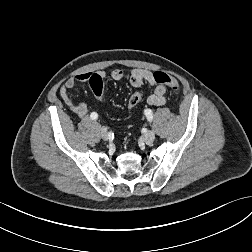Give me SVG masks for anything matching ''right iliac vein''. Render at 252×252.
<instances>
[{
  "label": "right iliac vein",
  "instance_id": "63e3f726",
  "mask_svg": "<svg viewBox=\"0 0 252 252\" xmlns=\"http://www.w3.org/2000/svg\"><path fill=\"white\" fill-rule=\"evenodd\" d=\"M101 137L105 141H107L109 139L110 136H109V133L107 132L106 128H102Z\"/></svg>",
  "mask_w": 252,
  "mask_h": 252
}]
</instances>
